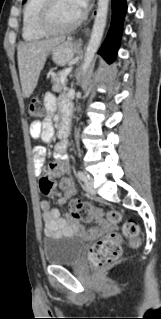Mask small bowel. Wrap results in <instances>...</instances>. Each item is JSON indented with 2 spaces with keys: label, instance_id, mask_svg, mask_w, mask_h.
Listing matches in <instances>:
<instances>
[{
  "label": "small bowel",
  "instance_id": "c3829d8e",
  "mask_svg": "<svg viewBox=\"0 0 161 319\" xmlns=\"http://www.w3.org/2000/svg\"><path fill=\"white\" fill-rule=\"evenodd\" d=\"M57 106H59L63 117H69L70 107L66 97L61 96L58 99L52 93L46 94L44 98V107L46 112L51 115L56 112ZM30 137L36 141H42L43 143H51L54 139V128L49 118L44 121H34L30 126ZM65 146H59L57 149V161L51 163L48 166V170L53 175H61L67 172L69 157L65 153ZM34 152V169L35 172L40 174L43 171L46 151L40 145L33 147ZM75 194V188H67L65 193L58 198V204L63 206L72 200ZM40 211L44 221V232L46 236H55L58 234H73L76 231L82 230V226L73 219H66L61 217L60 212L57 209L52 208L50 202L43 199L39 203ZM100 229H95L87 232L89 237H96L101 235L104 231L110 229V226L106 220H100Z\"/></svg>",
  "mask_w": 161,
  "mask_h": 319
}]
</instances>
